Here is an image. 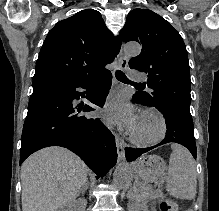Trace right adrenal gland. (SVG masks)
Wrapping results in <instances>:
<instances>
[{"instance_id":"2a0ac1e0","label":"right adrenal gland","mask_w":219,"mask_h":211,"mask_svg":"<svg viewBox=\"0 0 219 211\" xmlns=\"http://www.w3.org/2000/svg\"><path fill=\"white\" fill-rule=\"evenodd\" d=\"M85 191V187H82V189H80V191H78L77 195H79V193H84Z\"/></svg>"}]
</instances>
